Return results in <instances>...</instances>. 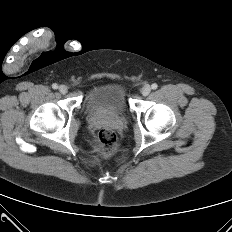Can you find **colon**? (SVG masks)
<instances>
[{"label":"colon","mask_w":232,"mask_h":232,"mask_svg":"<svg viewBox=\"0 0 232 232\" xmlns=\"http://www.w3.org/2000/svg\"><path fill=\"white\" fill-rule=\"evenodd\" d=\"M98 142L104 156L113 155L117 149V135L110 128H101L98 132Z\"/></svg>","instance_id":"1"}]
</instances>
